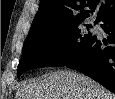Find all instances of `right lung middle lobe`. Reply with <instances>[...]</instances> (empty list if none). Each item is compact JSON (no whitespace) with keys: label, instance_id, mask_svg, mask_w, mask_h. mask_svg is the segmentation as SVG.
<instances>
[{"label":"right lung middle lobe","instance_id":"dd1d6c3e","mask_svg":"<svg viewBox=\"0 0 115 99\" xmlns=\"http://www.w3.org/2000/svg\"><path fill=\"white\" fill-rule=\"evenodd\" d=\"M71 25L49 33L27 37L18 77L27 70L40 67H63L74 61L95 37L84 33L79 25ZM91 28L92 25H86Z\"/></svg>","mask_w":115,"mask_h":99}]
</instances>
